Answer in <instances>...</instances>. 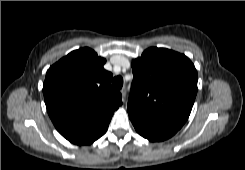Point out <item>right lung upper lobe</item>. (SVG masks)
<instances>
[{
	"instance_id": "obj_1",
	"label": "right lung upper lobe",
	"mask_w": 245,
	"mask_h": 170,
	"mask_svg": "<svg viewBox=\"0 0 245 170\" xmlns=\"http://www.w3.org/2000/svg\"><path fill=\"white\" fill-rule=\"evenodd\" d=\"M106 60L90 48H80L52 65L43 84L48 114L59 133L77 145L91 144L108 129L122 104L111 86Z\"/></svg>"
}]
</instances>
